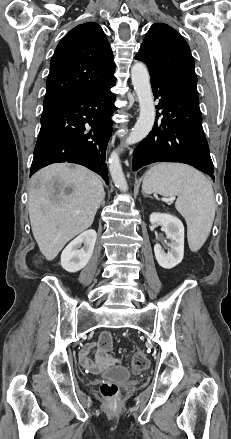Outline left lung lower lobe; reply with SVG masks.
I'll use <instances>...</instances> for the list:
<instances>
[{
	"label": "left lung lower lobe",
	"instance_id": "left-lung-lower-lobe-1",
	"mask_svg": "<svg viewBox=\"0 0 231 439\" xmlns=\"http://www.w3.org/2000/svg\"><path fill=\"white\" fill-rule=\"evenodd\" d=\"M149 70L157 120L149 135L133 153L132 170L155 162L185 163L214 179V167L208 143L202 128L199 103L183 93L175 84L164 78L143 59ZM161 110V113H158Z\"/></svg>",
	"mask_w": 231,
	"mask_h": 439
}]
</instances>
